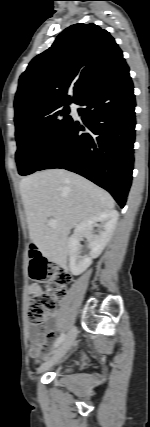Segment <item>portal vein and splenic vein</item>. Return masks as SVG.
Masks as SVG:
<instances>
[{
  "mask_svg": "<svg viewBox=\"0 0 150 427\" xmlns=\"http://www.w3.org/2000/svg\"><path fill=\"white\" fill-rule=\"evenodd\" d=\"M47 224L50 227H56L58 225V222L55 219H50Z\"/></svg>",
  "mask_w": 150,
  "mask_h": 427,
  "instance_id": "1",
  "label": "portal vein and splenic vein"
}]
</instances>
